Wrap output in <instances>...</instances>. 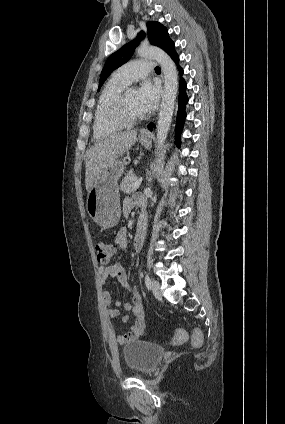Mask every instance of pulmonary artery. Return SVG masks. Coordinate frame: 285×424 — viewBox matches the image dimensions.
I'll use <instances>...</instances> for the list:
<instances>
[{
  "label": "pulmonary artery",
  "mask_w": 285,
  "mask_h": 424,
  "mask_svg": "<svg viewBox=\"0 0 285 424\" xmlns=\"http://www.w3.org/2000/svg\"><path fill=\"white\" fill-rule=\"evenodd\" d=\"M152 66V62L147 60H133L118 68L113 76L118 81L127 85L135 80L146 77L152 71Z\"/></svg>",
  "instance_id": "obj_1"
}]
</instances>
